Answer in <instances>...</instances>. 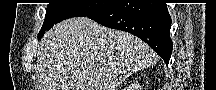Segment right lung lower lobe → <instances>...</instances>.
Returning <instances> with one entry per match:
<instances>
[{"label":"right lung lower lobe","mask_w":216,"mask_h":90,"mask_svg":"<svg viewBox=\"0 0 216 90\" xmlns=\"http://www.w3.org/2000/svg\"><path fill=\"white\" fill-rule=\"evenodd\" d=\"M87 17L106 27L139 37L168 65L173 46L171 17L166 4H111Z\"/></svg>","instance_id":"98d812e1"}]
</instances>
